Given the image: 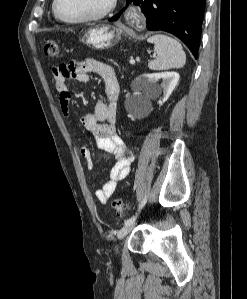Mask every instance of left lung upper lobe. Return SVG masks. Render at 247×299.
<instances>
[{
    "mask_svg": "<svg viewBox=\"0 0 247 299\" xmlns=\"http://www.w3.org/2000/svg\"><path fill=\"white\" fill-rule=\"evenodd\" d=\"M132 0H126V4H130Z\"/></svg>",
    "mask_w": 247,
    "mask_h": 299,
    "instance_id": "1",
    "label": "left lung upper lobe"
}]
</instances>
